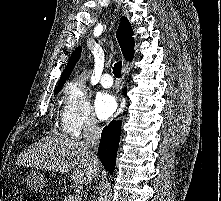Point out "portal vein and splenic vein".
I'll return each instance as SVG.
<instances>
[{"instance_id":"1","label":"portal vein and splenic vein","mask_w":221,"mask_h":201,"mask_svg":"<svg viewBox=\"0 0 221 201\" xmlns=\"http://www.w3.org/2000/svg\"><path fill=\"white\" fill-rule=\"evenodd\" d=\"M77 199L80 200V196L75 194L70 196L68 201H76Z\"/></svg>"}]
</instances>
